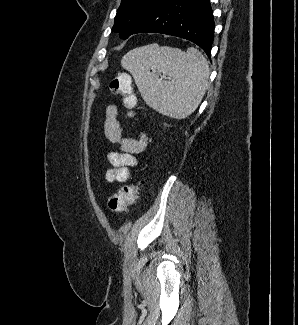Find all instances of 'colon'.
<instances>
[{
	"instance_id": "5ec220e1",
	"label": "colon",
	"mask_w": 298,
	"mask_h": 325,
	"mask_svg": "<svg viewBox=\"0 0 298 325\" xmlns=\"http://www.w3.org/2000/svg\"><path fill=\"white\" fill-rule=\"evenodd\" d=\"M112 93L121 96L123 105L133 115L137 104V97L133 90L130 76L125 72L118 73L110 82ZM140 183H129L121 187L107 201V208L111 213L125 212L138 198Z\"/></svg>"
}]
</instances>
